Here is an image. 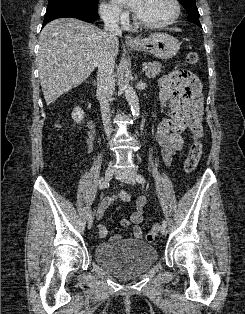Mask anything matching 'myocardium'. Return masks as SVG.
<instances>
[{
    "mask_svg": "<svg viewBox=\"0 0 245 314\" xmlns=\"http://www.w3.org/2000/svg\"><path fill=\"white\" fill-rule=\"evenodd\" d=\"M173 6H174V12L171 17H169L166 20L163 21H158V22H145L140 20L136 14L133 15V21L134 24L138 27H143V28H160V27H165L170 24H173L180 16L181 13V5L179 0H172Z\"/></svg>",
    "mask_w": 245,
    "mask_h": 314,
    "instance_id": "myocardium-1",
    "label": "myocardium"
}]
</instances>
